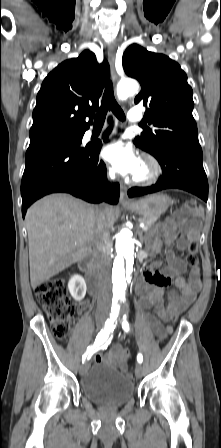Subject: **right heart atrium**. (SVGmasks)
<instances>
[{
	"mask_svg": "<svg viewBox=\"0 0 221 448\" xmlns=\"http://www.w3.org/2000/svg\"><path fill=\"white\" fill-rule=\"evenodd\" d=\"M114 178H115V174H114L113 170L110 169V168H108V169L106 170V179H107L108 181H113Z\"/></svg>",
	"mask_w": 221,
	"mask_h": 448,
	"instance_id": "1",
	"label": "right heart atrium"
}]
</instances>
